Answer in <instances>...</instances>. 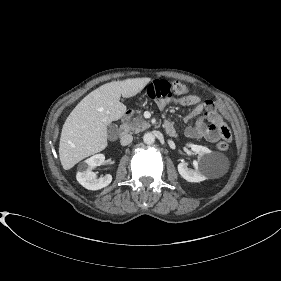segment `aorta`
<instances>
[{"instance_id":"obj_1","label":"aorta","mask_w":281,"mask_h":281,"mask_svg":"<svg viewBox=\"0 0 281 281\" xmlns=\"http://www.w3.org/2000/svg\"><path fill=\"white\" fill-rule=\"evenodd\" d=\"M144 143L151 145L155 142V136L151 132H147L143 136Z\"/></svg>"}]
</instances>
